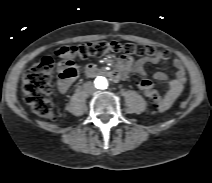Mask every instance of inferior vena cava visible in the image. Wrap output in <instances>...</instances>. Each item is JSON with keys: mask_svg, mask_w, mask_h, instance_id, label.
<instances>
[{"mask_svg": "<svg viewBox=\"0 0 212 183\" xmlns=\"http://www.w3.org/2000/svg\"><path fill=\"white\" fill-rule=\"evenodd\" d=\"M84 87L86 92L89 94H95L97 92L95 86L91 82L85 83Z\"/></svg>", "mask_w": 212, "mask_h": 183, "instance_id": "602c4592", "label": "inferior vena cava"}]
</instances>
